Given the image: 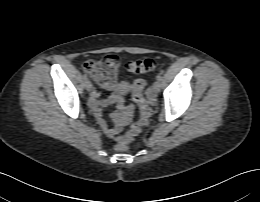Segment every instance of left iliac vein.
Segmentation results:
<instances>
[{
  "label": "left iliac vein",
  "instance_id": "1",
  "mask_svg": "<svg viewBox=\"0 0 260 202\" xmlns=\"http://www.w3.org/2000/svg\"><path fill=\"white\" fill-rule=\"evenodd\" d=\"M160 86H161L160 81L158 80L155 81L151 87L152 93H158L160 91Z\"/></svg>",
  "mask_w": 260,
  "mask_h": 202
}]
</instances>
